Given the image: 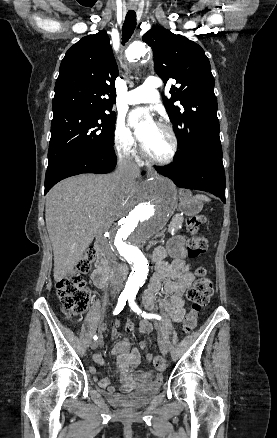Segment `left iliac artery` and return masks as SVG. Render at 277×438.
<instances>
[{
	"mask_svg": "<svg viewBox=\"0 0 277 438\" xmlns=\"http://www.w3.org/2000/svg\"><path fill=\"white\" fill-rule=\"evenodd\" d=\"M128 301H129V305H130L131 309L134 312H136L137 314L141 315L142 317L148 318V319L155 318L157 320H161V316L158 314L146 313L144 311L142 312L141 309L135 303V295H129Z\"/></svg>",
	"mask_w": 277,
	"mask_h": 438,
	"instance_id": "44dca946",
	"label": "left iliac artery"
}]
</instances>
